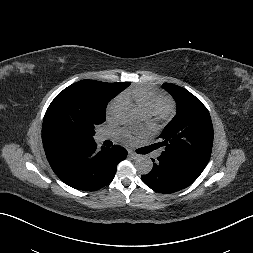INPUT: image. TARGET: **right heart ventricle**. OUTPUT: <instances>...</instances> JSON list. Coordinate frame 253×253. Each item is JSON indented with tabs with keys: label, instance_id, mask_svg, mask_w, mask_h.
I'll list each match as a JSON object with an SVG mask.
<instances>
[{
	"label": "right heart ventricle",
	"instance_id": "1",
	"mask_svg": "<svg viewBox=\"0 0 253 253\" xmlns=\"http://www.w3.org/2000/svg\"><path fill=\"white\" fill-rule=\"evenodd\" d=\"M124 99L133 100L143 114H155L166 102L165 97L147 88H134L122 95Z\"/></svg>",
	"mask_w": 253,
	"mask_h": 253
}]
</instances>
